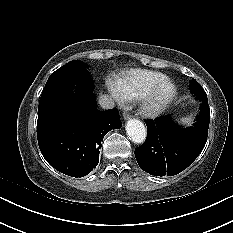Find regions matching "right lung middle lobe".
Returning a JSON list of instances; mask_svg holds the SVG:
<instances>
[{
    "mask_svg": "<svg viewBox=\"0 0 233 233\" xmlns=\"http://www.w3.org/2000/svg\"><path fill=\"white\" fill-rule=\"evenodd\" d=\"M86 68L83 62L74 60L51 74L39 101L38 118L69 109L76 91L85 87L94 88Z\"/></svg>",
    "mask_w": 233,
    "mask_h": 233,
    "instance_id": "dd1d6c3e",
    "label": "right lung middle lobe"
}]
</instances>
